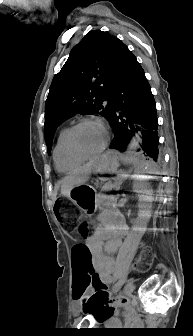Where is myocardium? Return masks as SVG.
I'll return each mask as SVG.
<instances>
[{"label":"myocardium","instance_id":"obj_1","mask_svg":"<svg viewBox=\"0 0 193 336\" xmlns=\"http://www.w3.org/2000/svg\"><path fill=\"white\" fill-rule=\"evenodd\" d=\"M87 123L98 124L99 126H101V128L103 129L104 134H105L104 141H103L101 147L94 152H85V151L81 150L75 142V134H76L77 130L81 126H83ZM109 139H110V132H109L108 126L100 119L87 117V118L80 119L72 127L69 128L67 136H66V147H67V150L70 153V155H72L76 158L88 159V158H92V157H95V156L101 154L106 149V147L108 145V142H109Z\"/></svg>","mask_w":193,"mask_h":336}]
</instances>
